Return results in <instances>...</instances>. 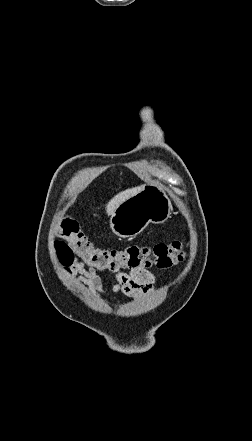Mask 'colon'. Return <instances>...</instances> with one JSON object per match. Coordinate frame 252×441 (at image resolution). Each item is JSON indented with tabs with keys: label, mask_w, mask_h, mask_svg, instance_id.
I'll use <instances>...</instances> for the list:
<instances>
[{
	"label": "colon",
	"mask_w": 252,
	"mask_h": 441,
	"mask_svg": "<svg viewBox=\"0 0 252 441\" xmlns=\"http://www.w3.org/2000/svg\"><path fill=\"white\" fill-rule=\"evenodd\" d=\"M60 237L66 241H56L54 247L60 261L67 266L73 262L75 255L95 270L111 273L149 266L166 269L184 259L183 244L180 241L153 247L131 245L120 250L98 248L80 231L78 224L69 218L61 224Z\"/></svg>",
	"instance_id": "1"
}]
</instances>
